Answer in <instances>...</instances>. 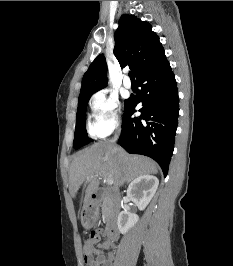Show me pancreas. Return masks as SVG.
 Masks as SVG:
<instances>
[{
    "label": "pancreas",
    "instance_id": "cf45deb5",
    "mask_svg": "<svg viewBox=\"0 0 233 266\" xmlns=\"http://www.w3.org/2000/svg\"><path fill=\"white\" fill-rule=\"evenodd\" d=\"M105 210H106V206H105V204L103 203V204H102V211H103V214H104Z\"/></svg>",
    "mask_w": 233,
    "mask_h": 266
}]
</instances>
